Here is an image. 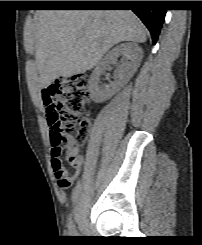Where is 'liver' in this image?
I'll list each match as a JSON object with an SVG mask.
<instances>
[{"label": "liver", "mask_w": 202, "mask_h": 245, "mask_svg": "<svg viewBox=\"0 0 202 245\" xmlns=\"http://www.w3.org/2000/svg\"><path fill=\"white\" fill-rule=\"evenodd\" d=\"M122 41L144 43L146 31L131 10H40L27 46L35 49L41 87L83 74Z\"/></svg>", "instance_id": "liver-1"}]
</instances>
